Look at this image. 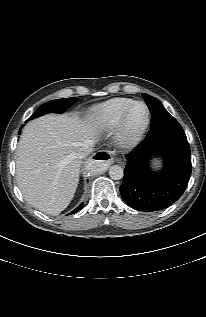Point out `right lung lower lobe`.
<instances>
[{"instance_id": "right-lung-lower-lobe-1", "label": "right lung lower lobe", "mask_w": 206, "mask_h": 317, "mask_svg": "<svg viewBox=\"0 0 206 317\" xmlns=\"http://www.w3.org/2000/svg\"><path fill=\"white\" fill-rule=\"evenodd\" d=\"M19 134H20V131H19ZM83 208V203L82 204H80L75 210H73L70 214H73V213H76V212H78L80 209H82ZM69 214V215H70Z\"/></svg>"}]
</instances>
